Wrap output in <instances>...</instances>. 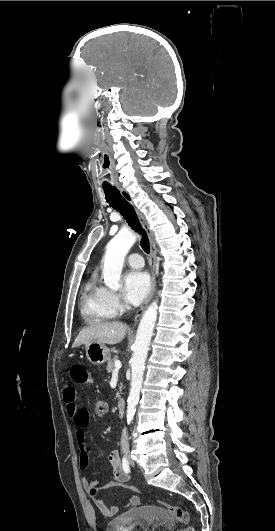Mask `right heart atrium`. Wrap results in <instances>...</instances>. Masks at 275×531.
I'll return each mask as SVG.
<instances>
[{"label":"right heart atrium","mask_w":275,"mask_h":531,"mask_svg":"<svg viewBox=\"0 0 275 531\" xmlns=\"http://www.w3.org/2000/svg\"><path fill=\"white\" fill-rule=\"evenodd\" d=\"M103 301L111 316H119L125 309V304L120 294L103 287Z\"/></svg>","instance_id":"d8ad5b80"}]
</instances>
